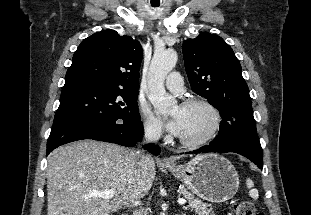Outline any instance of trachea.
I'll return each instance as SVG.
<instances>
[{"label":"trachea","instance_id":"trachea-1","mask_svg":"<svg viewBox=\"0 0 311 215\" xmlns=\"http://www.w3.org/2000/svg\"><path fill=\"white\" fill-rule=\"evenodd\" d=\"M153 7H157V5H153Z\"/></svg>","mask_w":311,"mask_h":215}]
</instances>
